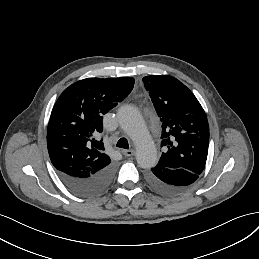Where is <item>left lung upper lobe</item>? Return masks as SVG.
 <instances>
[{
    "mask_svg": "<svg viewBox=\"0 0 259 259\" xmlns=\"http://www.w3.org/2000/svg\"><path fill=\"white\" fill-rule=\"evenodd\" d=\"M143 82L162 122L161 147H165L153 169H184L200 175L209 146V125L201 104L172 76H147Z\"/></svg>",
    "mask_w": 259,
    "mask_h": 259,
    "instance_id": "obj_1",
    "label": "left lung upper lobe"
}]
</instances>
